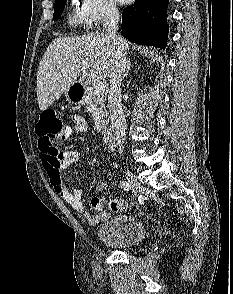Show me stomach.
Here are the masks:
<instances>
[{
  "instance_id": "stomach-1",
  "label": "stomach",
  "mask_w": 233,
  "mask_h": 294,
  "mask_svg": "<svg viewBox=\"0 0 233 294\" xmlns=\"http://www.w3.org/2000/svg\"><path fill=\"white\" fill-rule=\"evenodd\" d=\"M65 97L66 100L70 103H74V104H80L82 103L83 100V92L81 91L80 88L78 87H74V85H72L66 92H65Z\"/></svg>"
}]
</instances>
